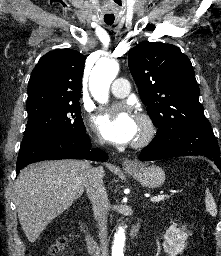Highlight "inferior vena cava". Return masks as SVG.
Listing matches in <instances>:
<instances>
[{"mask_svg":"<svg viewBox=\"0 0 221 256\" xmlns=\"http://www.w3.org/2000/svg\"><path fill=\"white\" fill-rule=\"evenodd\" d=\"M104 143L102 139L99 140ZM104 171L102 168L88 167L84 176V186L92 203L94 216L98 221L101 256H109L107 241V215L109 199L103 183Z\"/></svg>","mask_w":221,"mask_h":256,"instance_id":"602c4592","label":"inferior vena cava"}]
</instances>
